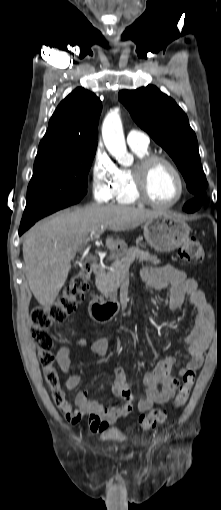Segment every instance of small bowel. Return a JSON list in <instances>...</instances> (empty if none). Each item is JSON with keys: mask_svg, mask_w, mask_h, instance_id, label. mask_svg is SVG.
Returning <instances> with one entry per match:
<instances>
[{"mask_svg": "<svg viewBox=\"0 0 221 510\" xmlns=\"http://www.w3.org/2000/svg\"><path fill=\"white\" fill-rule=\"evenodd\" d=\"M143 290L168 289L170 298L169 306L175 310L181 307L186 297L196 308V314L192 327L186 335L184 342L187 347L189 359L181 367L179 374L200 369L210 341L214 335V315L211 306L207 303L205 295L198 287L197 281L189 277L184 271L170 265L159 267H147L142 271ZM86 345L83 338H75L71 343L63 344L56 353V362L60 370L68 377L62 382L66 389H75L81 382L79 374L73 370L70 360L71 347ZM110 347V340L102 338L90 345V350L99 356H105ZM176 363L175 357H167L158 361L144 376V396L137 402V410L140 413L147 412L154 404H164L171 400L178 386V378L173 376L172 369ZM114 383L111 393L126 400L122 406L105 407L101 402L89 398L87 389L80 390L75 397L77 408L65 398L59 406L62 415L70 424H78L83 416H88V425L92 432H102L107 425L116 422L120 417L131 414L134 410L132 403V392L127 382L124 371L116 366L113 368ZM129 391L127 397L122 395L123 391Z\"/></svg>", "mask_w": 221, "mask_h": 510, "instance_id": "1", "label": "small bowel"}]
</instances>
